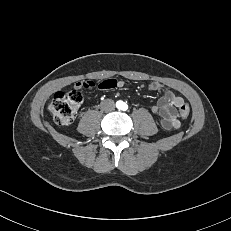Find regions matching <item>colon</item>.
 Masks as SVG:
<instances>
[{"mask_svg":"<svg viewBox=\"0 0 231 231\" xmlns=\"http://www.w3.org/2000/svg\"><path fill=\"white\" fill-rule=\"evenodd\" d=\"M83 103V95L78 90L57 92L48 105L54 121L59 125H69L73 122L77 110ZM180 114L187 118L190 114L189 104L184 101L179 107Z\"/></svg>","mask_w":231,"mask_h":231,"instance_id":"1","label":"colon"}]
</instances>
